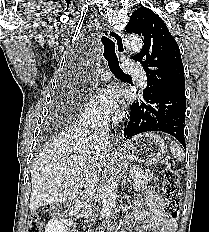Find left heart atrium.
<instances>
[{"label":"left heart atrium","mask_w":209,"mask_h":232,"mask_svg":"<svg viewBox=\"0 0 209 232\" xmlns=\"http://www.w3.org/2000/svg\"><path fill=\"white\" fill-rule=\"evenodd\" d=\"M97 102L105 115L115 114L120 104L117 91L111 86L104 87L98 91Z\"/></svg>","instance_id":"39dd6f15"}]
</instances>
